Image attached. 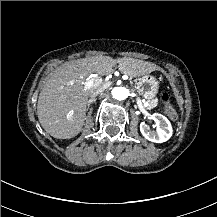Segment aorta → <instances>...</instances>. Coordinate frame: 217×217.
Returning <instances> with one entry per match:
<instances>
[{
    "mask_svg": "<svg viewBox=\"0 0 217 217\" xmlns=\"http://www.w3.org/2000/svg\"><path fill=\"white\" fill-rule=\"evenodd\" d=\"M111 96L116 100H123L128 96V91L124 87H114L111 90Z\"/></svg>",
    "mask_w": 217,
    "mask_h": 217,
    "instance_id": "762f6f07",
    "label": "aorta"
}]
</instances>
